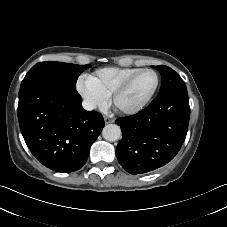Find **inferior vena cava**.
Segmentation results:
<instances>
[{"label": "inferior vena cava", "instance_id": "inferior-vena-cava-1", "mask_svg": "<svg viewBox=\"0 0 227 227\" xmlns=\"http://www.w3.org/2000/svg\"><path fill=\"white\" fill-rule=\"evenodd\" d=\"M82 106L87 111H91V110L96 108V105L93 102L89 101V100H84L82 102Z\"/></svg>", "mask_w": 227, "mask_h": 227}]
</instances>
